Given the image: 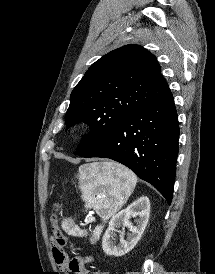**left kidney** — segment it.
<instances>
[{
    "label": "left kidney",
    "mask_w": 215,
    "mask_h": 274,
    "mask_svg": "<svg viewBox=\"0 0 215 274\" xmlns=\"http://www.w3.org/2000/svg\"><path fill=\"white\" fill-rule=\"evenodd\" d=\"M150 214V201L148 197H140L130 204L126 209L114 215L109 227L102 237L103 251L109 256L120 257L131 251L140 240L148 223ZM131 217H139L136 220V226L130 222ZM128 227L130 233L124 238V233L117 228L121 226ZM120 234L119 243L116 244L117 234Z\"/></svg>",
    "instance_id": "left-kidney-1"
}]
</instances>
